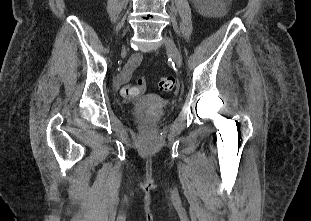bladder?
Returning <instances> with one entry per match:
<instances>
[{
    "mask_svg": "<svg viewBox=\"0 0 311 221\" xmlns=\"http://www.w3.org/2000/svg\"><path fill=\"white\" fill-rule=\"evenodd\" d=\"M143 99L147 102H152L153 101V98L151 96V94H146V95H143Z\"/></svg>",
    "mask_w": 311,
    "mask_h": 221,
    "instance_id": "31cf9c89",
    "label": "bladder"
}]
</instances>
